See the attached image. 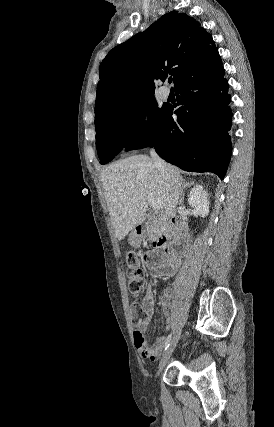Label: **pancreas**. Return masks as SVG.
<instances>
[{"mask_svg": "<svg viewBox=\"0 0 274 427\" xmlns=\"http://www.w3.org/2000/svg\"><path fill=\"white\" fill-rule=\"evenodd\" d=\"M165 231L161 223H157V219H148L147 237L148 239H158Z\"/></svg>", "mask_w": 274, "mask_h": 427, "instance_id": "pancreas-1", "label": "pancreas"}]
</instances>
